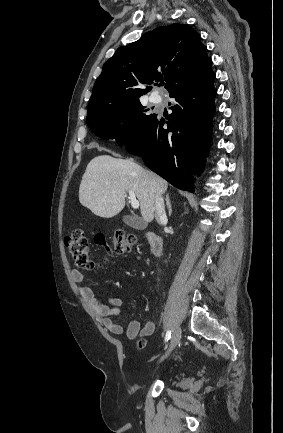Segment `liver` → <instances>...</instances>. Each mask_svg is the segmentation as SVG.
I'll return each instance as SVG.
<instances>
[{"mask_svg": "<svg viewBox=\"0 0 283 433\" xmlns=\"http://www.w3.org/2000/svg\"><path fill=\"white\" fill-rule=\"evenodd\" d=\"M168 182L145 170L132 158H114L109 154L95 156L86 166L79 186V200L97 217H115L125 206L127 190H134L143 221L155 217V198L167 190Z\"/></svg>", "mask_w": 283, "mask_h": 433, "instance_id": "liver-1", "label": "liver"}]
</instances>
